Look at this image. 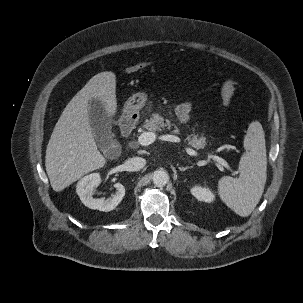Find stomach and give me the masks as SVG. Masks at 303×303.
I'll list each match as a JSON object with an SVG mask.
<instances>
[{"mask_svg": "<svg viewBox=\"0 0 303 303\" xmlns=\"http://www.w3.org/2000/svg\"><path fill=\"white\" fill-rule=\"evenodd\" d=\"M146 102L147 94L145 92H137L133 94L125 104V114L129 116L138 115Z\"/></svg>", "mask_w": 303, "mask_h": 303, "instance_id": "1", "label": "stomach"}]
</instances>
